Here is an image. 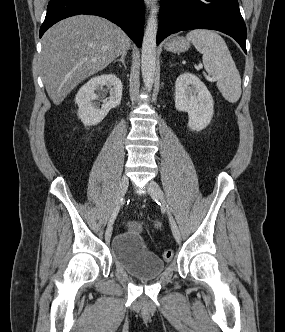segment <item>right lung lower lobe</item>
Instances as JSON below:
<instances>
[{"label": "right lung lower lobe", "instance_id": "1", "mask_svg": "<svg viewBox=\"0 0 285 332\" xmlns=\"http://www.w3.org/2000/svg\"><path fill=\"white\" fill-rule=\"evenodd\" d=\"M78 14H93L120 26L138 47L142 44L144 28L143 0H50L40 38L56 22Z\"/></svg>", "mask_w": 285, "mask_h": 332}]
</instances>
